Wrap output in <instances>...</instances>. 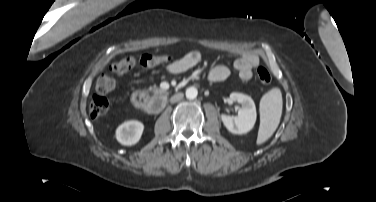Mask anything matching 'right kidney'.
<instances>
[{
    "label": "right kidney",
    "mask_w": 376,
    "mask_h": 202,
    "mask_svg": "<svg viewBox=\"0 0 376 202\" xmlns=\"http://www.w3.org/2000/svg\"><path fill=\"white\" fill-rule=\"evenodd\" d=\"M143 130V123L137 120L126 121L116 129V139L122 145L131 146L140 140Z\"/></svg>",
    "instance_id": "1"
}]
</instances>
